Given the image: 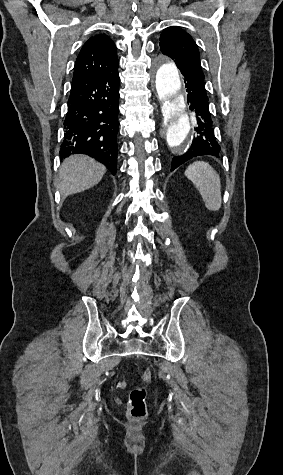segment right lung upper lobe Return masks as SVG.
I'll return each mask as SVG.
<instances>
[{"label": "right lung upper lobe", "instance_id": "1", "mask_svg": "<svg viewBox=\"0 0 283 475\" xmlns=\"http://www.w3.org/2000/svg\"><path fill=\"white\" fill-rule=\"evenodd\" d=\"M114 42L105 34L91 37L76 59L73 78L101 76L118 69Z\"/></svg>", "mask_w": 283, "mask_h": 475}]
</instances>
